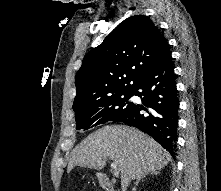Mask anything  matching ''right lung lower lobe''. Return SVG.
<instances>
[{"instance_id": "right-lung-lower-lobe-1", "label": "right lung lower lobe", "mask_w": 221, "mask_h": 191, "mask_svg": "<svg viewBox=\"0 0 221 191\" xmlns=\"http://www.w3.org/2000/svg\"><path fill=\"white\" fill-rule=\"evenodd\" d=\"M133 95L141 97L143 105L133 104L120 122L152 136L174 157L179 100L171 52L143 76L134 87Z\"/></svg>"}]
</instances>
